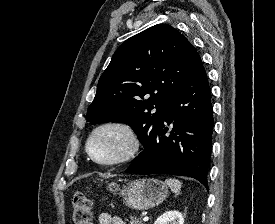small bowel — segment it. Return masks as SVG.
Masks as SVG:
<instances>
[{
    "label": "small bowel",
    "mask_w": 275,
    "mask_h": 224,
    "mask_svg": "<svg viewBox=\"0 0 275 224\" xmlns=\"http://www.w3.org/2000/svg\"><path fill=\"white\" fill-rule=\"evenodd\" d=\"M99 224H125L122 218L118 216H112L109 213L102 212L98 215Z\"/></svg>",
    "instance_id": "small-bowel-1"
}]
</instances>
